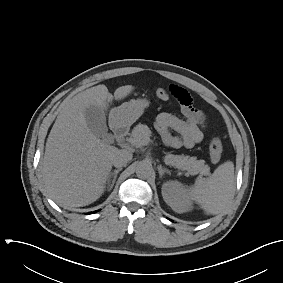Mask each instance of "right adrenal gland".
<instances>
[{
	"label": "right adrenal gland",
	"instance_id": "right-adrenal-gland-1",
	"mask_svg": "<svg viewBox=\"0 0 283 283\" xmlns=\"http://www.w3.org/2000/svg\"><path fill=\"white\" fill-rule=\"evenodd\" d=\"M121 170H122L121 168H118V169L114 170L113 172L109 173L108 179H107V184H108L109 190H111L113 188L115 181H116V178H117V175Z\"/></svg>",
	"mask_w": 283,
	"mask_h": 283
}]
</instances>
